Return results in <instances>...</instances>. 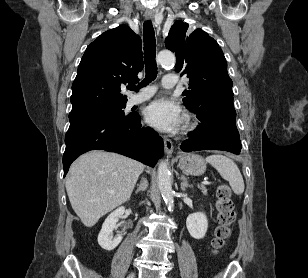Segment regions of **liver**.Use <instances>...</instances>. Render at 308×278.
<instances>
[{
    "label": "liver",
    "instance_id": "6515ba94",
    "mask_svg": "<svg viewBox=\"0 0 308 278\" xmlns=\"http://www.w3.org/2000/svg\"><path fill=\"white\" fill-rule=\"evenodd\" d=\"M142 163L120 154L94 150L70 167L66 191L75 213L86 227L129 200Z\"/></svg>",
    "mask_w": 308,
    "mask_h": 278
}]
</instances>
